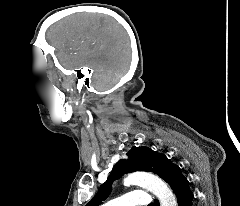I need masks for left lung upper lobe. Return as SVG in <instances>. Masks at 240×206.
I'll return each mask as SVG.
<instances>
[{
	"label": "left lung upper lobe",
	"mask_w": 240,
	"mask_h": 206,
	"mask_svg": "<svg viewBox=\"0 0 240 206\" xmlns=\"http://www.w3.org/2000/svg\"><path fill=\"white\" fill-rule=\"evenodd\" d=\"M129 160L120 159L114 166L107 181L101 185L95 197L85 206H99L109 195L112 181L123 174L134 171L154 172L162 179L173 164L165 155L147 147H133L127 153Z\"/></svg>",
	"instance_id": "1"
}]
</instances>
